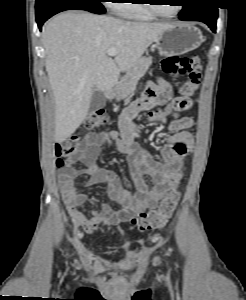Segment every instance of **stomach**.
Masks as SVG:
<instances>
[{
	"label": "stomach",
	"instance_id": "1",
	"mask_svg": "<svg viewBox=\"0 0 246 300\" xmlns=\"http://www.w3.org/2000/svg\"><path fill=\"white\" fill-rule=\"evenodd\" d=\"M200 29L189 23H177L167 28L155 41L160 54L177 56L198 48L204 42ZM111 98H120L116 90L110 92Z\"/></svg>",
	"mask_w": 246,
	"mask_h": 300
}]
</instances>
